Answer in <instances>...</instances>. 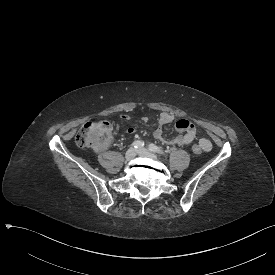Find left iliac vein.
<instances>
[{
  "label": "left iliac vein",
  "mask_w": 275,
  "mask_h": 275,
  "mask_svg": "<svg viewBox=\"0 0 275 275\" xmlns=\"http://www.w3.org/2000/svg\"><path fill=\"white\" fill-rule=\"evenodd\" d=\"M137 153L141 156H146V157H155V155L150 152L148 149L146 148H141L137 151Z\"/></svg>",
  "instance_id": "4c4485c4"
}]
</instances>
